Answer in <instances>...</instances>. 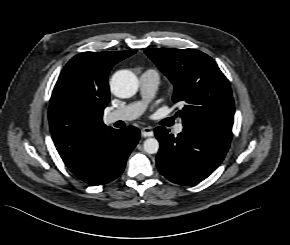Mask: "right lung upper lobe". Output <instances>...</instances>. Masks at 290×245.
Listing matches in <instances>:
<instances>
[{
	"label": "right lung upper lobe",
	"instance_id": "obj_1",
	"mask_svg": "<svg viewBox=\"0 0 290 245\" xmlns=\"http://www.w3.org/2000/svg\"><path fill=\"white\" fill-rule=\"evenodd\" d=\"M136 50L83 52L62 70L49 106L52 139L66 165L87 154L108 132L102 121L110 98L108 74Z\"/></svg>",
	"mask_w": 290,
	"mask_h": 245
}]
</instances>
